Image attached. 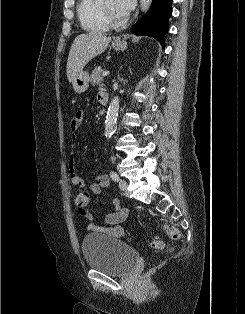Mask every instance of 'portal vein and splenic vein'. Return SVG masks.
I'll return each instance as SVG.
<instances>
[{
    "instance_id": "obj_1",
    "label": "portal vein and splenic vein",
    "mask_w": 245,
    "mask_h": 314,
    "mask_svg": "<svg viewBox=\"0 0 245 314\" xmlns=\"http://www.w3.org/2000/svg\"><path fill=\"white\" fill-rule=\"evenodd\" d=\"M109 74H110L109 71H104V72L102 73V76H103V77H106V76H108Z\"/></svg>"
}]
</instances>
